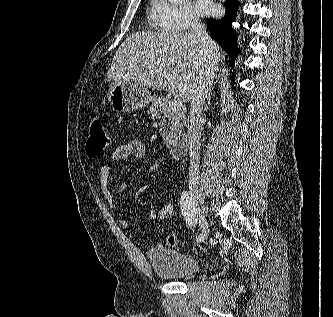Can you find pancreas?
<instances>
[{
	"label": "pancreas",
	"instance_id": "1",
	"mask_svg": "<svg viewBox=\"0 0 333 317\" xmlns=\"http://www.w3.org/2000/svg\"><path fill=\"white\" fill-rule=\"evenodd\" d=\"M149 113L152 119L159 120L160 133L165 146H168L177 134H181L183 125L186 123L185 114L180 110L171 111L168 99L165 97H154Z\"/></svg>",
	"mask_w": 333,
	"mask_h": 317
}]
</instances>
